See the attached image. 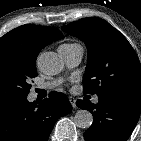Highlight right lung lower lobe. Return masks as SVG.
I'll return each instance as SVG.
<instances>
[{
  "label": "right lung lower lobe",
  "instance_id": "right-lung-lower-lobe-1",
  "mask_svg": "<svg viewBox=\"0 0 141 141\" xmlns=\"http://www.w3.org/2000/svg\"><path fill=\"white\" fill-rule=\"evenodd\" d=\"M71 110L61 92L40 103L28 102L27 96H0V141H47L57 119Z\"/></svg>",
  "mask_w": 141,
  "mask_h": 141
}]
</instances>
